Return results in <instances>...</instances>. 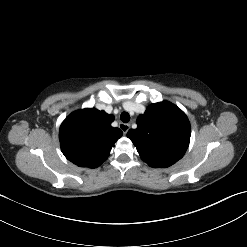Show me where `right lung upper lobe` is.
Instances as JSON below:
<instances>
[{
    "label": "right lung upper lobe",
    "instance_id": "right-lung-upper-lobe-1",
    "mask_svg": "<svg viewBox=\"0 0 247 247\" xmlns=\"http://www.w3.org/2000/svg\"><path fill=\"white\" fill-rule=\"evenodd\" d=\"M113 120V115L95 108L70 114L59 131L61 149L65 157L80 167L100 166L122 136L120 129L111 126Z\"/></svg>",
    "mask_w": 247,
    "mask_h": 247
}]
</instances>
